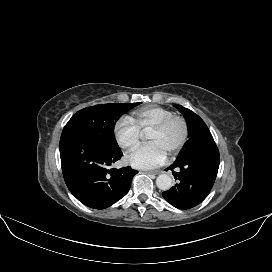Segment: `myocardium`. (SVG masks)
Segmentation results:
<instances>
[{"label": "myocardium", "instance_id": "obj_1", "mask_svg": "<svg viewBox=\"0 0 272 272\" xmlns=\"http://www.w3.org/2000/svg\"><path fill=\"white\" fill-rule=\"evenodd\" d=\"M178 123L181 127V136L179 140L169 149V154L174 155L178 153L186 144L189 137V126L186 119L179 115H171L155 126L151 128L152 131L163 132L165 131L171 124Z\"/></svg>", "mask_w": 272, "mask_h": 272}]
</instances>
